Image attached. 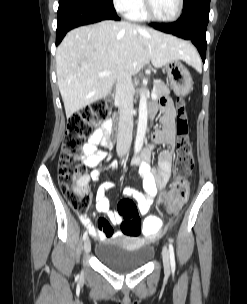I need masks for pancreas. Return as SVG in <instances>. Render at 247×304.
<instances>
[{"instance_id": "pancreas-1", "label": "pancreas", "mask_w": 247, "mask_h": 304, "mask_svg": "<svg viewBox=\"0 0 247 304\" xmlns=\"http://www.w3.org/2000/svg\"><path fill=\"white\" fill-rule=\"evenodd\" d=\"M152 91L156 94V97L158 98L162 96H168L170 94L169 88L165 85L163 81L159 80L154 81Z\"/></svg>"}]
</instances>
